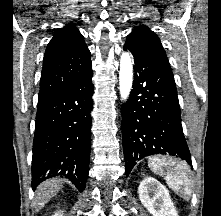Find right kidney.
Wrapping results in <instances>:
<instances>
[{
  "label": "right kidney",
  "mask_w": 221,
  "mask_h": 216,
  "mask_svg": "<svg viewBox=\"0 0 221 216\" xmlns=\"http://www.w3.org/2000/svg\"><path fill=\"white\" fill-rule=\"evenodd\" d=\"M53 216H63V214H61L60 212L56 213L55 215Z\"/></svg>",
  "instance_id": "right-kidney-1"
}]
</instances>
